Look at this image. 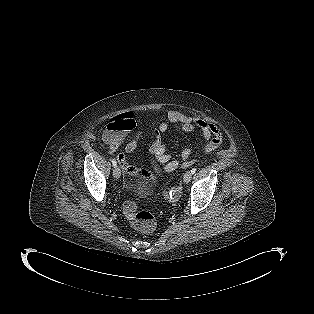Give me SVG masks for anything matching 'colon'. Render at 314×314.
I'll return each instance as SVG.
<instances>
[{
	"label": "colon",
	"instance_id": "obj_1",
	"mask_svg": "<svg viewBox=\"0 0 314 314\" xmlns=\"http://www.w3.org/2000/svg\"><path fill=\"white\" fill-rule=\"evenodd\" d=\"M134 126L135 121L132 113L120 114L109 121L103 139L109 144L116 143L122 140L124 135ZM123 210L131 225L139 232L149 234L154 230L156 225L154 215L149 211H139L133 200H127L123 205Z\"/></svg>",
	"mask_w": 314,
	"mask_h": 314
}]
</instances>
